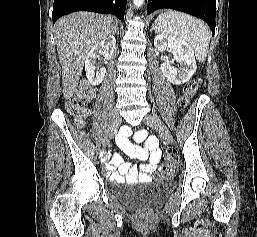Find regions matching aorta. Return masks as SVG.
<instances>
[{"instance_id": "aorta-1", "label": "aorta", "mask_w": 257, "mask_h": 237, "mask_svg": "<svg viewBox=\"0 0 257 237\" xmlns=\"http://www.w3.org/2000/svg\"><path fill=\"white\" fill-rule=\"evenodd\" d=\"M133 4L136 8H140L144 4V0H133Z\"/></svg>"}]
</instances>
